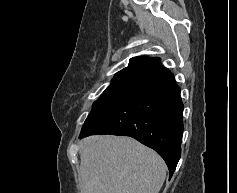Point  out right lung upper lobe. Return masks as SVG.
<instances>
[{
	"instance_id": "cb5924a9",
	"label": "right lung upper lobe",
	"mask_w": 237,
	"mask_h": 193,
	"mask_svg": "<svg viewBox=\"0 0 237 193\" xmlns=\"http://www.w3.org/2000/svg\"><path fill=\"white\" fill-rule=\"evenodd\" d=\"M158 58L149 56L133 57L129 60V64L126 68L119 71L116 75L124 74L131 71L146 70L147 67L155 62Z\"/></svg>"
}]
</instances>
